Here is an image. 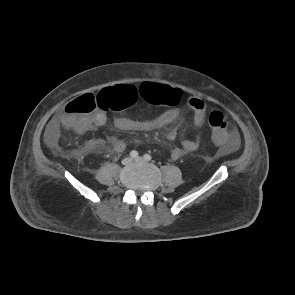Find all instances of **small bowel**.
I'll return each instance as SVG.
<instances>
[{
    "label": "small bowel",
    "mask_w": 295,
    "mask_h": 295,
    "mask_svg": "<svg viewBox=\"0 0 295 295\" xmlns=\"http://www.w3.org/2000/svg\"><path fill=\"white\" fill-rule=\"evenodd\" d=\"M181 95L182 92L177 90ZM188 106L193 112V128L195 130H200L206 120V105L203 100L197 97L190 98L188 100ZM180 109L178 107H172L159 115L157 118L148 121H136L131 120L126 117H115L113 124L115 128L122 131H132V132H157L160 131L173 122H175L180 116ZM107 123V116L102 111H96L86 117L81 125L75 130L78 133H85L93 127H102ZM60 132V118H53L48 124L45 131V142L48 147L55 149L58 145ZM177 136L176 129H170L166 132L165 137L169 140L175 139ZM111 148L113 151L120 153L126 148V144L123 140L112 138L110 140ZM238 145V137L236 134L235 141L229 145V149H235ZM200 146V136L195 139H184L180 147L173 148L170 152V157L172 160H178L194 151H196ZM107 148L103 141L98 139H91L85 146V151L94 152L105 150Z\"/></svg>",
    "instance_id": "1"
}]
</instances>
